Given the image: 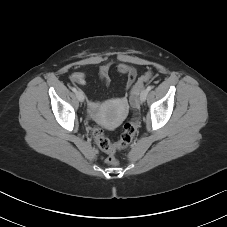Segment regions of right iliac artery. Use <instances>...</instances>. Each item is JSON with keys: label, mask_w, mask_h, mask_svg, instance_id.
I'll return each instance as SVG.
<instances>
[{"label": "right iliac artery", "mask_w": 227, "mask_h": 227, "mask_svg": "<svg viewBox=\"0 0 227 227\" xmlns=\"http://www.w3.org/2000/svg\"><path fill=\"white\" fill-rule=\"evenodd\" d=\"M71 90H72L73 92H77V89H76L75 87H72Z\"/></svg>", "instance_id": "obj_1"}]
</instances>
